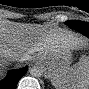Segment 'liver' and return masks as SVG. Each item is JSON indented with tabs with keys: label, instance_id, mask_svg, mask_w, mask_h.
Returning a JSON list of instances; mask_svg holds the SVG:
<instances>
[{
	"label": "liver",
	"instance_id": "1",
	"mask_svg": "<svg viewBox=\"0 0 89 89\" xmlns=\"http://www.w3.org/2000/svg\"><path fill=\"white\" fill-rule=\"evenodd\" d=\"M74 39H66L57 30H48L38 24L6 22L0 27L1 63L10 52L14 53L16 61H24L28 55L36 52L40 57L59 50L70 51L80 46Z\"/></svg>",
	"mask_w": 89,
	"mask_h": 89
}]
</instances>
